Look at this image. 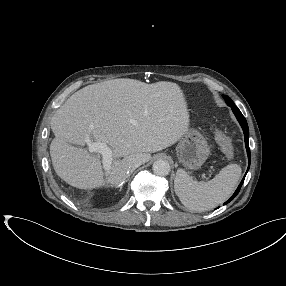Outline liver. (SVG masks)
<instances>
[{
  "label": "liver",
  "instance_id": "obj_1",
  "mask_svg": "<svg viewBox=\"0 0 286 286\" xmlns=\"http://www.w3.org/2000/svg\"><path fill=\"white\" fill-rule=\"evenodd\" d=\"M50 125L55 135L50 156L62 180L79 189L105 184L119 187L128 178L133 160L146 163L150 153L181 139L189 127V112L176 83L146 84L123 78L75 92L55 112ZM88 141L111 148L109 170H103L99 155L69 144L85 145Z\"/></svg>",
  "mask_w": 286,
  "mask_h": 286
}]
</instances>
